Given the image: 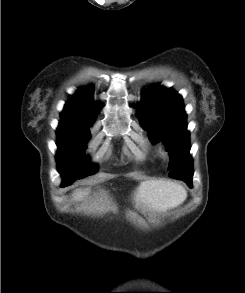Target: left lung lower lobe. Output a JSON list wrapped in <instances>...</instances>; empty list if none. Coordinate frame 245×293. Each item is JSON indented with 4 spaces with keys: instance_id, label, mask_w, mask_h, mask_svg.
I'll list each match as a JSON object with an SVG mask.
<instances>
[{
    "instance_id": "obj_1",
    "label": "left lung lower lobe",
    "mask_w": 245,
    "mask_h": 293,
    "mask_svg": "<svg viewBox=\"0 0 245 293\" xmlns=\"http://www.w3.org/2000/svg\"><path fill=\"white\" fill-rule=\"evenodd\" d=\"M192 177L193 176H188L187 174L186 175H183L181 176V179L180 180H183L184 182L187 183V185L192 188Z\"/></svg>"
}]
</instances>
